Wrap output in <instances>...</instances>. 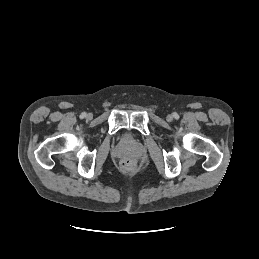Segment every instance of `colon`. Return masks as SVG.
<instances>
[{"mask_svg":"<svg viewBox=\"0 0 259 259\" xmlns=\"http://www.w3.org/2000/svg\"><path fill=\"white\" fill-rule=\"evenodd\" d=\"M133 166V162L129 159H124L122 162H121V168L125 171H128L132 168Z\"/></svg>","mask_w":259,"mask_h":259,"instance_id":"colon-1","label":"colon"}]
</instances>
